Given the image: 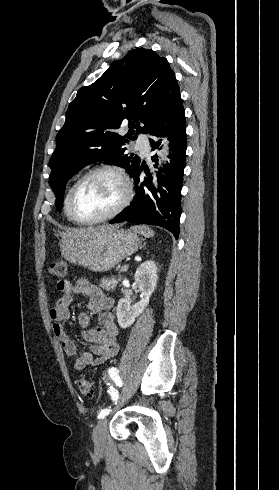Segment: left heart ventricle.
<instances>
[{"label":"left heart ventricle","instance_id":"b2bd125f","mask_svg":"<svg viewBox=\"0 0 279 490\" xmlns=\"http://www.w3.org/2000/svg\"><path fill=\"white\" fill-rule=\"evenodd\" d=\"M124 194L121 182L113 175L102 173L88 178L81 186L75 202L76 216L91 220L111 211Z\"/></svg>","mask_w":279,"mask_h":490}]
</instances>
